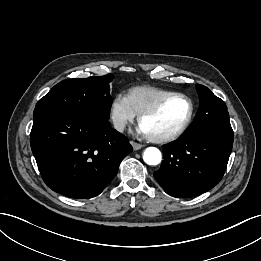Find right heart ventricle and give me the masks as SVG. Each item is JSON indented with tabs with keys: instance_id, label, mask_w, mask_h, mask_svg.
<instances>
[{
	"instance_id": "right-heart-ventricle-1",
	"label": "right heart ventricle",
	"mask_w": 261,
	"mask_h": 261,
	"mask_svg": "<svg viewBox=\"0 0 261 261\" xmlns=\"http://www.w3.org/2000/svg\"><path fill=\"white\" fill-rule=\"evenodd\" d=\"M169 93L153 86H136L128 90L126 97L135 114H139Z\"/></svg>"
}]
</instances>
